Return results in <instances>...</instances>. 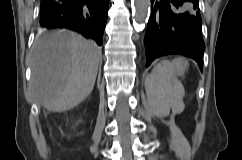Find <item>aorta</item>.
<instances>
[{"label":"aorta","instance_id":"aorta-1","mask_svg":"<svg viewBox=\"0 0 242 160\" xmlns=\"http://www.w3.org/2000/svg\"><path fill=\"white\" fill-rule=\"evenodd\" d=\"M134 10V20L142 25L150 14V0H132Z\"/></svg>","mask_w":242,"mask_h":160}]
</instances>
